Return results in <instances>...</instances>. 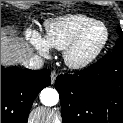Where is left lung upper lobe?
I'll return each instance as SVG.
<instances>
[{"instance_id": "left-lung-upper-lobe-1", "label": "left lung upper lobe", "mask_w": 123, "mask_h": 123, "mask_svg": "<svg viewBox=\"0 0 123 123\" xmlns=\"http://www.w3.org/2000/svg\"><path fill=\"white\" fill-rule=\"evenodd\" d=\"M117 33L120 35V37L116 41L114 50L123 49V32L120 27H118Z\"/></svg>"}]
</instances>
